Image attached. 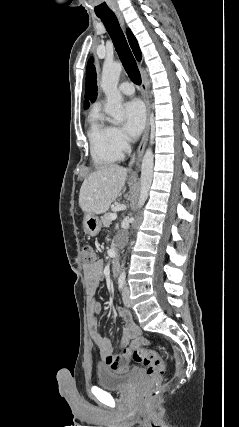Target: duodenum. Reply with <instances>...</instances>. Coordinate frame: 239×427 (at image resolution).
<instances>
[{"mask_svg":"<svg viewBox=\"0 0 239 427\" xmlns=\"http://www.w3.org/2000/svg\"><path fill=\"white\" fill-rule=\"evenodd\" d=\"M111 271L114 277H117L120 272V262L117 256H115L112 260Z\"/></svg>","mask_w":239,"mask_h":427,"instance_id":"duodenum-1","label":"duodenum"}]
</instances>
